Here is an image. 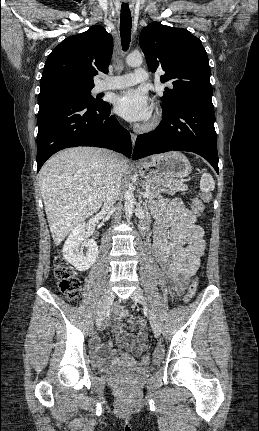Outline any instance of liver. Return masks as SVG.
<instances>
[{
	"mask_svg": "<svg viewBox=\"0 0 259 431\" xmlns=\"http://www.w3.org/2000/svg\"><path fill=\"white\" fill-rule=\"evenodd\" d=\"M107 157L108 151L95 147L68 148L52 156L41 168L39 186L55 245L100 209ZM118 168L121 176L127 172L126 158L118 157Z\"/></svg>",
	"mask_w": 259,
	"mask_h": 431,
	"instance_id": "obj_1",
	"label": "liver"
}]
</instances>
